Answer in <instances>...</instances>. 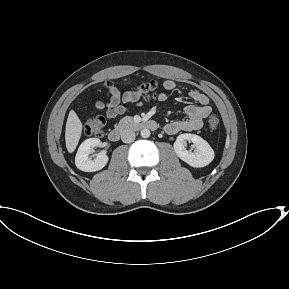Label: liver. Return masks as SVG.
Here are the masks:
<instances>
[{
	"instance_id": "6515ba94",
	"label": "liver",
	"mask_w": 289,
	"mask_h": 289,
	"mask_svg": "<svg viewBox=\"0 0 289 289\" xmlns=\"http://www.w3.org/2000/svg\"><path fill=\"white\" fill-rule=\"evenodd\" d=\"M81 133L82 123L75 111L71 110L68 114L65 129V142L66 148L69 153L74 152V150L76 149L81 137Z\"/></svg>"
}]
</instances>
